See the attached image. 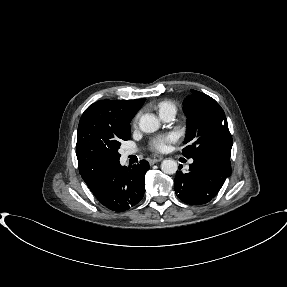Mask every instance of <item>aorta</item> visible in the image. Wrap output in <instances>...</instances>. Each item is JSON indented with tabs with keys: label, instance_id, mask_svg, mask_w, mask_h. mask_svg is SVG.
<instances>
[{
	"label": "aorta",
	"instance_id": "762f6f07",
	"mask_svg": "<svg viewBox=\"0 0 287 287\" xmlns=\"http://www.w3.org/2000/svg\"><path fill=\"white\" fill-rule=\"evenodd\" d=\"M160 127V122L154 114H144L139 119V128L145 133H153ZM178 169L177 162L165 159L161 163V170L166 174H174Z\"/></svg>",
	"mask_w": 287,
	"mask_h": 287
}]
</instances>
